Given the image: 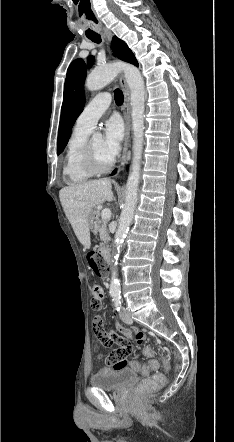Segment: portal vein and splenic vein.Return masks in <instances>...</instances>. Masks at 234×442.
Listing matches in <instances>:
<instances>
[{"mask_svg": "<svg viewBox=\"0 0 234 442\" xmlns=\"http://www.w3.org/2000/svg\"><path fill=\"white\" fill-rule=\"evenodd\" d=\"M110 217H111V210L108 208L103 209L101 212V218L103 220H108L110 219Z\"/></svg>", "mask_w": 234, "mask_h": 442, "instance_id": "1", "label": "portal vein and splenic vein"}]
</instances>
